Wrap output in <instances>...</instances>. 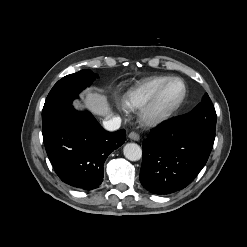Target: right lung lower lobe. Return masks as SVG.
Instances as JSON below:
<instances>
[{"label":"right lung lower lobe","instance_id":"right-lung-lower-lobe-1","mask_svg":"<svg viewBox=\"0 0 247 247\" xmlns=\"http://www.w3.org/2000/svg\"><path fill=\"white\" fill-rule=\"evenodd\" d=\"M47 155L60 179L92 190L103 181L104 162L125 142V130L107 132L88 111L72 106L42 121Z\"/></svg>","mask_w":247,"mask_h":247}]
</instances>
